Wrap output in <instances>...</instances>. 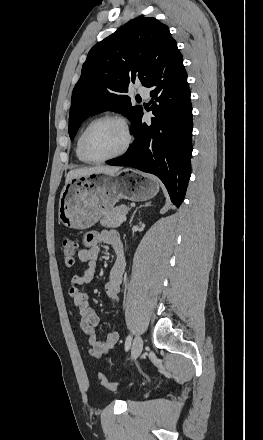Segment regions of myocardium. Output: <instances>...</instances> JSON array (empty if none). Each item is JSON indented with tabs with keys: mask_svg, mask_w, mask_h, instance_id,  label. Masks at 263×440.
I'll return each mask as SVG.
<instances>
[{
	"mask_svg": "<svg viewBox=\"0 0 263 440\" xmlns=\"http://www.w3.org/2000/svg\"><path fill=\"white\" fill-rule=\"evenodd\" d=\"M105 121H112L117 123L123 130L124 132V136H125V140L123 145L121 146V148L116 151L115 153L108 155V156H104V157H94L90 154L88 147H87V142H88V138L89 135L91 133V131L93 130V128L98 125L101 122H105ZM133 141V134L131 131V128L128 124V122L126 121V119H124L123 117L116 115V114H106V115H102L100 117L95 118L94 120H92L86 127V129L83 132V135L81 137V141H80V150H81V154L83 156V158L91 163H103V162H107L113 159H116L122 155H124L128 149L130 148L131 144Z\"/></svg>",
	"mask_w": 263,
	"mask_h": 440,
	"instance_id": "obj_1",
	"label": "myocardium"
}]
</instances>
